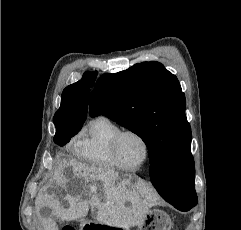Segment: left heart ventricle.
Here are the masks:
<instances>
[{
    "label": "left heart ventricle",
    "instance_id": "b2bd125f",
    "mask_svg": "<svg viewBox=\"0 0 241 230\" xmlns=\"http://www.w3.org/2000/svg\"><path fill=\"white\" fill-rule=\"evenodd\" d=\"M120 161L128 166H137L145 155L143 143L134 135H125L118 149Z\"/></svg>",
    "mask_w": 241,
    "mask_h": 230
}]
</instances>
